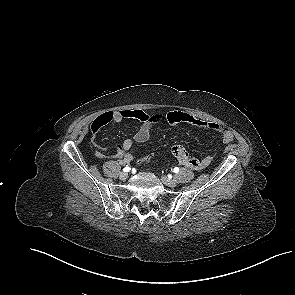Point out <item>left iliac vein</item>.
<instances>
[{
	"label": "left iliac vein",
	"mask_w": 295,
	"mask_h": 295,
	"mask_svg": "<svg viewBox=\"0 0 295 295\" xmlns=\"http://www.w3.org/2000/svg\"><path fill=\"white\" fill-rule=\"evenodd\" d=\"M161 180H162V182H163L165 185H167V186H169V187H175V186L177 185V183H176L175 180L169 179V178L166 177V176H162V177H161Z\"/></svg>",
	"instance_id": "1"
}]
</instances>
